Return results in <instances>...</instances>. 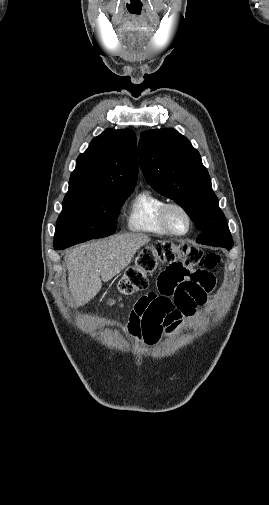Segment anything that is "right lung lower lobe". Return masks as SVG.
Returning <instances> with one entry per match:
<instances>
[{
    "label": "right lung lower lobe",
    "instance_id": "right-lung-lower-lobe-1",
    "mask_svg": "<svg viewBox=\"0 0 269 505\" xmlns=\"http://www.w3.org/2000/svg\"><path fill=\"white\" fill-rule=\"evenodd\" d=\"M55 249H59V250H60V249H62V248L58 247V248H55Z\"/></svg>",
    "mask_w": 269,
    "mask_h": 505
}]
</instances>
